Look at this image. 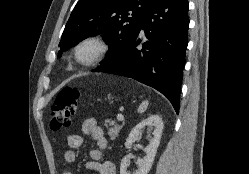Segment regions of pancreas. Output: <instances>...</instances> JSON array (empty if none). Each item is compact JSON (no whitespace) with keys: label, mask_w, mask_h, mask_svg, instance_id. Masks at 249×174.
Instances as JSON below:
<instances>
[{"label":"pancreas","mask_w":249,"mask_h":174,"mask_svg":"<svg viewBox=\"0 0 249 174\" xmlns=\"http://www.w3.org/2000/svg\"><path fill=\"white\" fill-rule=\"evenodd\" d=\"M104 126L106 128H108L109 126H113L108 129V135L110 136L111 140L116 139L120 130L122 129V125L115 124V122L111 120H106Z\"/></svg>","instance_id":"obj_1"}]
</instances>
